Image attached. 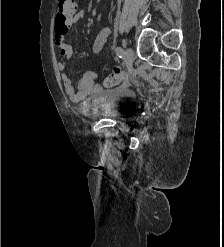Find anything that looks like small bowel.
Here are the masks:
<instances>
[{
    "instance_id": "1",
    "label": "small bowel",
    "mask_w": 224,
    "mask_h": 247,
    "mask_svg": "<svg viewBox=\"0 0 224 247\" xmlns=\"http://www.w3.org/2000/svg\"><path fill=\"white\" fill-rule=\"evenodd\" d=\"M85 16V12L83 10L76 11L72 23H77L82 20ZM110 35V28H103L95 37L93 42V52L98 54L103 49L108 36ZM55 45L58 47L61 60L58 62V69L61 72V80L65 87V90L70 97V99L74 102H79L87 99L90 96H93L99 93L102 90V86L96 82L98 79V74L93 71H85L83 72L77 84L74 85L71 78L68 74L65 73V69L67 67L68 61L71 59L73 55V49L70 44L67 43L65 38V33H59L55 31L54 36ZM121 71L119 68H115L114 72Z\"/></svg>"
}]
</instances>
